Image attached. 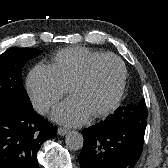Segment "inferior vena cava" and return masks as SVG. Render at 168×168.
I'll use <instances>...</instances> for the list:
<instances>
[{"instance_id": "obj_1", "label": "inferior vena cava", "mask_w": 168, "mask_h": 168, "mask_svg": "<svg viewBox=\"0 0 168 168\" xmlns=\"http://www.w3.org/2000/svg\"><path fill=\"white\" fill-rule=\"evenodd\" d=\"M46 110H47V107H46L45 105H42V106L37 107V111H38V112L43 113V112H45Z\"/></svg>"}]
</instances>
